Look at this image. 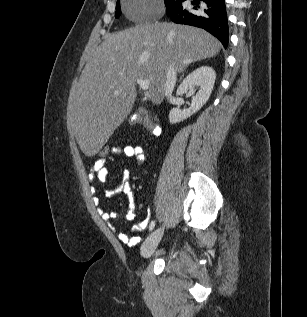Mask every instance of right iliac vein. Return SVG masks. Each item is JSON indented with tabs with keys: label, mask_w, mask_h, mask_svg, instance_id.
<instances>
[{
	"label": "right iliac vein",
	"mask_w": 307,
	"mask_h": 317,
	"mask_svg": "<svg viewBox=\"0 0 307 317\" xmlns=\"http://www.w3.org/2000/svg\"><path fill=\"white\" fill-rule=\"evenodd\" d=\"M162 235V228H158L147 237L141 247V254L144 258H149L155 252Z\"/></svg>",
	"instance_id": "obj_1"
}]
</instances>
